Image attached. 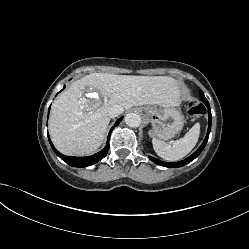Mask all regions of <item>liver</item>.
Here are the masks:
<instances>
[{
	"label": "liver",
	"instance_id": "obj_1",
	"mask_svg": "<svg viewBox=\"0 0 249 249\" xmlns=\"http://www.w3.org/2000/svg\"><path fill=\"white\" fill-rule=\"evenodd\" d=\"M93 90L102 98L84 95ZM181 100L180 87L170 77L92 73L74 81L54 101L50 136L64 155H89L103 142L112 106L120 105L126 110L147 104L172 107Z\"/></svg>",
	"mask_w": 249,
	"mask_h": 249
}]
</instances>
